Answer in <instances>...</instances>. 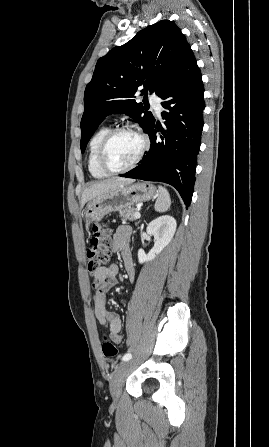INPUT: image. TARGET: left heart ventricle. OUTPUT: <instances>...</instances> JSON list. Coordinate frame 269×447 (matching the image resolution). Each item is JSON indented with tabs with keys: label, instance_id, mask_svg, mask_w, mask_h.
I'll return each instance as SVG.
<instances>
[{
	"label": "left heart ventricle",
	"instance_id": "obj_1",
	"mask_svg": "<svg viewBox=\"0 0 269 447\" xmlns=\"http://www.w3.org/2000/svg\"><path fill=\"white\" fill-rule=\"evenodd\" d=\"M143 145L142 137L134 131L117 133L111 140L107 150V161L114 168L130 165Z\"/></svg>",
	"mask_w": 269,
	"mask_h": 447
}]
</instances>
